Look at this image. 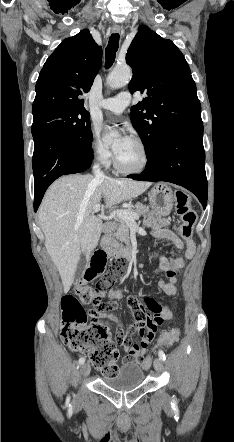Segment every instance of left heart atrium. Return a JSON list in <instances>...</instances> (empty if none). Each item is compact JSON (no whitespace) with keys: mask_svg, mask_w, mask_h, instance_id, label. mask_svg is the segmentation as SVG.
<instances>
[{"mask_svg":"<svg viewBox=\"0 0 234 442\" xmlns=\"http://www.w3.org/2000/svg\"><path fill=\"white\" fill-rule=\"evenodd\" d=\"M123 133H124V135L120 139L121 147H124L125 145H127L131 141V138L126 135L125 130H123Z\"/></svg>","mask_w":234,"mask_h":442,"instance_id":"39dd6f15","label":"left heart atrium"}]
</instances>
